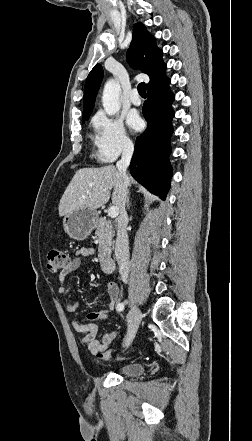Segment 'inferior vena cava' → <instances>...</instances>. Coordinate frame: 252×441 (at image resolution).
I'll return each instance as SVG.
<instances>
[{"instance_id":"inferior-vena-cava-1","label":"inferior vena cava","mask_w":252,"mask_h":441,"mask_svg":"<svg viewBox=\"0 0 252 441\" xmlns=\"http://www.w3.org/2000/svg\"><path fill=\"white\" fill-rule=\"evenodd\" d=\"M134 152L133 145H126L123 148L122 157L117 162L116 167L121 175V205L118 217L117 237L115 243V255L119 265V272L123 282H127L129 274V243L127 235L128 215L125 204L128 196L129 177L127 168L130 164Z\"/></svg>"}]
</instances>
